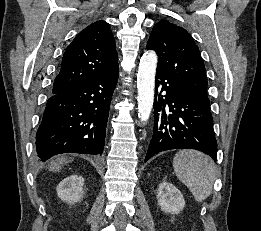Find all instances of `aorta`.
Instances as JSON below:
<instances>
[{
    "mask_svg": "<svg viewBox=\"0 0 261 231\" xmlns=\"http://www.w3.org/2000/svg\"><path fill=\"white\" fill-rule=\"evenodd\" d=\"M157 61V55L154 51L146 52L140 59L137 75V100L138 117L141 122L147 121L152 111Z\"/></svg>",
    "mask_w": 261,
    "mask_h": 231,
    "instance_id": "aorta-1",
    "label": "aorta"
}]
</instances>
